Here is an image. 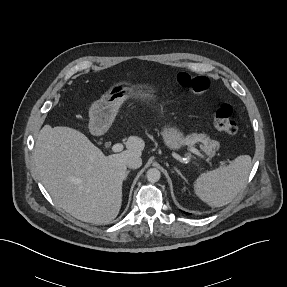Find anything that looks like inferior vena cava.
<instances>
[{
    "label": "inferior vena cava",
    "instance_id": "inferior-vena-cava-1",
    "mask_svg": "<svg viewBox=\"0 0 287 287\" xmlns=\"http://www.w3.org/2000/svg\"><path fill=\"white\" fill-rule=\"evenodd\" d=\"M142 165V159L139 156H131L126 160V166L131 169H137Z\"/></svg>",
    "mask_w": 287,
    "mask_h": 287
}]
</instances>
